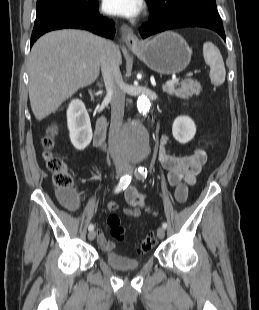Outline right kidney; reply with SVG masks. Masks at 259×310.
<instances>
[{
  "label": "right kidney",
  "mask_w": 259,
  "mask_h": 310,
  "mask_svg": "<svg viewBox=\"0 0 259 310\" xmlns=\"http://www.w3.org/2000/svg\"><path fill=\"white\" fill-rule=\"evenodd\" d=\"M67 124L70 140L77 150H84L92 140V128L84 103L72 100L67 109Z\"/></svg>",
  "instance_id": "obj_1"
}]
</instances>
